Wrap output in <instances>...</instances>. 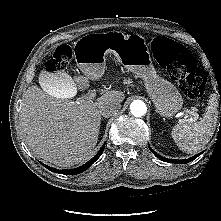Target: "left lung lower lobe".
<instances>
[{
  "label": "left lung lower lobe",
  "mask_w": 221,
  "mask_h": 221,
  "mask_svg": "<svg viewBox=\"0 0 221 221\" xmlns=\"http://www.w3.org/2000/svg\"><path fill=\"white\" fill-rule=\"evenodd\" d=\"M149 149L162 161H165V162H171V163H176V164H185V163H188L192 160H194L195 158H197L199 155H201L202 153H199L189 159H185V160H173V159H167V158H164L162 156H160L159 154H157L156 152H154L151 147L149 146Z\"/></svg>",
  "instance_id": "left-lung-lower-lobe-1"
}]
</instances>
